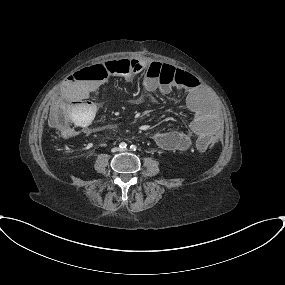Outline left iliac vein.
<instances>
[{
    "mask_svg": "<svg viewBox=\"0 0 285 285\" xmlns=\"http://www.w3.org/2000/svg\"><path fill=\"white\" fill-rule=\"evenodd\" d=\"M123 151H124V152H126V151H127V149H123Z\"/></svg>",
    "mask_w": 285,
    "mask_h": 285,
    "instance_id": "obj_1",
    "label": "left iliac vein"
}]
</instances>
